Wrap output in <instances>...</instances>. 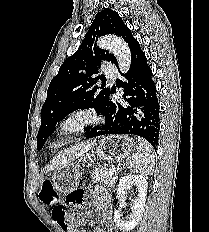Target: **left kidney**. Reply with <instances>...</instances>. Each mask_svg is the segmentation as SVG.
Returning <instances> with one entry per match:
<instances>
[{
    "instance_id": "left-kidney-1",
    "label": "left kidney",
    "mask_w": 209,
    "mask_h": 232,
    "mask_svg": "<svg viewBox=\"0 0 209 232\" xmlns=\"http://www.w3.org/2000/svg\"><path fill=\"white\" fill-rule=\"evenodd\" d=\"M135 186L137 189V195L134 200V204L132 206V213L128 220L123 221L121 219V214L119 210H115L114 212V222L116 226L123 230V232H128L135 228L138 223L141 221L144 206L146 202V195H147V177L145 175H128L120 179L118 188H117V199L119 203H122L126 198V191L127 189Z\"/></svg>"
}]
</instances>
